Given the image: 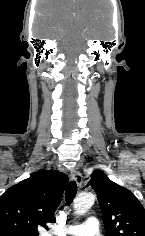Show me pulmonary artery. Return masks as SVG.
<instances>
[{"label":"pulmonary artery","instance_id":"e3ab8cb5","mask_svg":"<svg viewBox=\"0 0 145 236\" xmlns=\"http://www.w3.org/2000/svg\"><path fill=\"white\" fill-rule=\"evenodd\" d=\"M51 233L62 236H99V222L95 217H90L85 224L68 225L61 230L53 229Z\"/></svg>","mask_w":145,"mask_h":236}]
</instances>
